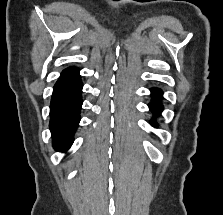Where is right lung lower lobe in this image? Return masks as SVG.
<instances>
[{
    "label": "right lung lower lobe",
    "mask_w": 223,
    "mask_h": 215,
    "mask_svg": "<svg viewBox=\"0 0 223 215\" xmlns=\"http://www.w3.org/2000/svg\"><path fill=\"white\" fill-rule=\"evenodd\" d=\"M82 87L79 71L60 77L54 85L50 104V129L53 147L57 151L65 152L73 143V135L80 122Z\"/></svg>",
    "instance_id": "obj_1"
}]
</instances>
